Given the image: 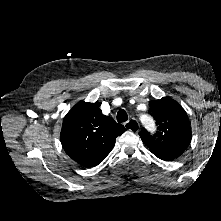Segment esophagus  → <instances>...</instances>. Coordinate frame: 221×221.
<instances>
[{
  "instance_id": "1",
  "label": "esophagus",
  "mask_w": 221,
  "mask_h": 221,
  "mask_svg": "<svg viewBox=\"0 0 221 221\" xmlns=\"http://www.w3.org/2000/svg\"><path fill=\"white\" fill-rule=\"evenodd\" d=\"M124 126H125L126 129H128L130 131H133V132H138L139 129H140L139 123L135 119H131V120L127 121L124 124Z\"/></svg>"
}]
</instances>
